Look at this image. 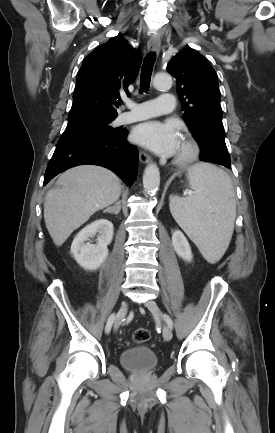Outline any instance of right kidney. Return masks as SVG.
Instances as JSON below:
<instances>
[{
    "label": "right kidney",
    "mask_w": 275,
    "mask_h": 433,
    "mask_svg": "<svg viewBox=\"0 0 275 433\" xmlns=\"http://www.w3.org/2000/svg\"><path fill=\"white\" fill-rule=\"evenodd\" d=\"M113 234V224L109 220H96L76 235L71 245V254L84 269L96 270L108 256L107 246L111 243ZM96 235V244L86 242Z\"/></svg>",
    "instance_id": "right-kidney-1"
}]
</instances>
